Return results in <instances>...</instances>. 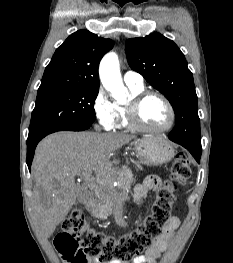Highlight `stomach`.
<instances>
[{
  "label": "stomach",
  "instance_id": "0dacf381",
  "mask_svg": "<svg viewBox=\"0 0 233 263\" xmlns=\"http://www.w3.org/2000/svg\"><path fill=\"white\" fill-rule=\"evenodd\" d=\"M135 151L140 163L159 165L174 156L171 144L163 137L147 135L135 141Z\"/></svg>",
  "mask_w": 233,
  "mask_h": 263
}]
</instances>
